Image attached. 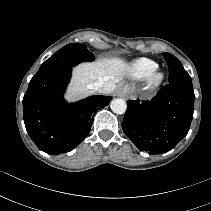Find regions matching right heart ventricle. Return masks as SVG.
I'll return each mask as SVG.
<instances>
[{"label": "right heart ventricle", "mask_w": 211, "mask_h": 211, "mask_svg": "<svg viewBox=\"0 0 211 211\" xmlns=\"http://www.w3.org/2000/svg\"><path fill=\"white\" fill-rule=\"evenodd\" d=\"M158 63L148 58L136 60L129 68V75L134 80H145L149 78L157 69Z\"/></svg>", "instance_id": "right-heart-ventricle-1"}]
</instances>
